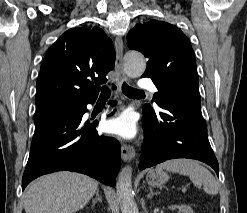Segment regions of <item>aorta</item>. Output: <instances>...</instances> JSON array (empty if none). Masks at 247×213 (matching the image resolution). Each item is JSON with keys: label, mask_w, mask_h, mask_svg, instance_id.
Returning a JSON list of instances; mask_svg holds the SVG:
<instances>
[{"label": "aorta", "mask_w": 247, "mask_h": 213, "mask_svg": "<svg viewBox=\"0 0 247 213\" xmlns=\"http://www.w3.org/2000/svg\"><path fill=\"white\" fill-rule=\"evenodd\" d=\"M146 69L144 56L137 51H128L124 56V71L130 77H140ZM132 169L124 168L118 176L116 191L121 202L122 213H139L132 199Z\"/></svg>", "instance_id": "aorta-1"}]
</instances>
